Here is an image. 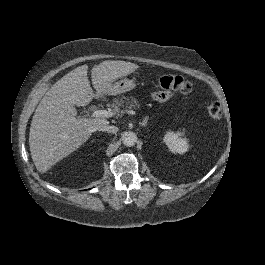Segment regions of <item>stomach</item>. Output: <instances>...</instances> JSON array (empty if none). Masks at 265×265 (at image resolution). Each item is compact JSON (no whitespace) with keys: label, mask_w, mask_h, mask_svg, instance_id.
Masks as SVG:
<instances>
[{"label":"stomach","mask_w":265,"mask_h":265,"mask_svg":"<svg viewBox=\"0 0 265 265\" xmlns=\"http://www.w3.org/2000/svg\"><path fill=\"white\" fill-rule=\"evenodd\" d=\"M136 87V83L132 79L124 78L114 83H111L107 88L109 95H118L127 91H131Z\"/></svg>","instance_id":"obj_1"}]
</instances>
